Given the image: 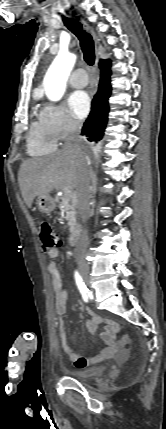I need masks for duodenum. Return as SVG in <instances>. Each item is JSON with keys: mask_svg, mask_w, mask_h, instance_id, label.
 I'll return each instance as SVG.
<instances>
[{"mask_svg": "<svg viewBox=\"0 0 166 429\" xmlns=\"http://www.w3.org/2000/svg\"><path fill=\"white\" fill-rule=\"evenodd\" d=\"M80 234H81V228H80V227H77V228H76V229L71 233L70 238H69V243H70V245H71V246H75V245H77V243H78V241H79Z\"/></svg>", "mask_w": 166, "mask_h": 429, "instance_id": "1", "label": "duodenum"}]
</instances>
